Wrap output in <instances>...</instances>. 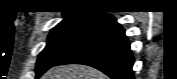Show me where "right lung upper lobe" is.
Instances as JSON below:
<instances>
[{"label":"right lung upper lobe","instance_id":"obj_1","mask_svg":"<svg viewBox=\"0 0 177 79\" xmlns=\"http://www.w3.org/2000/svg\"><path fill=\"white\" fill-rule=\"evenodd\" d=\"M105 12L99 11L92 3L77 4L71 10L63 12L65 19L62 22L74 21L86 18L105 17Z\"/></svg>","mask_w":177,"mask_h":79}]
</instances>
